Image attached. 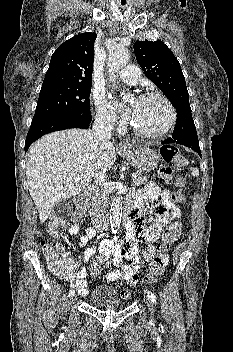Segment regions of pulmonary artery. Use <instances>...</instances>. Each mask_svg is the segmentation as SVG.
<instances>
[{"mask_svg": "<svg viewBox=\"0 0 233 352\" xmlns=\"http://www.w3.org/2000/svg\"><path fill=\"white\" fill-rule=\"evenodd\" d=\"M118 75L123 82L129 85L137 84L141 76L139 68L133 65L123 68Z\"/></svg>", "mask_w": 233, "mask_h": 352, "instance_id": "obj_1", "label": "pulmonary artery"}]
</instances>
